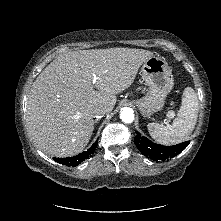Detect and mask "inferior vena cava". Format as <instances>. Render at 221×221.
Instances as JSON below:
<instances>
[{
  "label": "inferior vena cava",
  "instance_id": "obj_1",
  "mask_svg": "<svg viewBox=\"0 0 221 221\" xmlns=\"http://www.w3.org/2000/svg\"><path fill=\"white\" fill-rule=\"evenodd\" d=\"M92 117L94 118H101L107 113V109L103 106H95L90 111Z\"/></svg>",
  "mask_w": 221,
  "mask_h": 221
}]
</instances>
